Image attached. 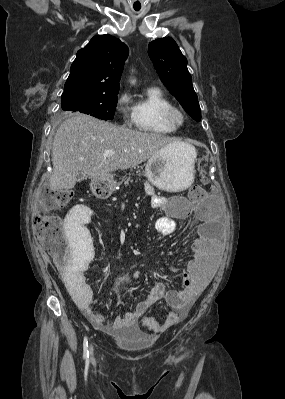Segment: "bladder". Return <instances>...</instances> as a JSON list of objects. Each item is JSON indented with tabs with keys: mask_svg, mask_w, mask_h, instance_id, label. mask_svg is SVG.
I'll list each match as a JSON object with an SVG mask.
<instances>
[{
	"mask_svg": "<svg viewBox=\"0 0 285 399\" xmlns=\"http://www.w3.org/2000/svg\"><path fill=\"white\" fill-rule=\"evenodd\" d=\"M115 342L120 344V346L129 352H141L148 349L150 345V338L143 333H138L134 337L116 338Z\"/></svg>",
	"mask_w": 285,
	"mask_h": 399,
	"instance_id": "bladder-1",
	"label": "bladder"
}]
</instances>
